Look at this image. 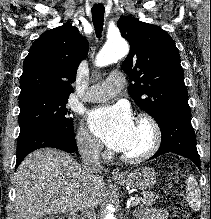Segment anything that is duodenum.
<instances>
[{
	"mask_svg": "<svg viewBox=\"0 0 211 219\" xmlns=\"http://www.w3.org/2000/svg\"><path fill=\"white\" fill-rule=\"evenodd\" d=\"M70 219H76V218H74V217H71Z\"/></svg>",
	"mask_w": 211,
	"mask_h": 219,
	"instance_id": "410a0bca",
	"label": "duodenum"
}]
</instances>
